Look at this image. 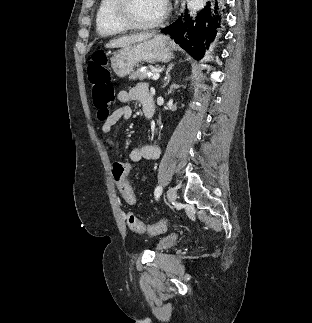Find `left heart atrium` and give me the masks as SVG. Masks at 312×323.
Instances as JSON below:
<instances>
[{"mask_svg": "<svg viewBox=\"0 0 312 323\" xmlns=\"http://www.w3.org/2000/svg\"><path fill=\"white\" fill-rule=\"evenodd\" d=\"M163 7L164 8H171L172 7V2L171 1H164L163 2Z\"/></svg>", "mask_w": 312, "mask_h": 323, "instance_id": "39dd6f15", "label": "left heart atrium"}]
</instances>
